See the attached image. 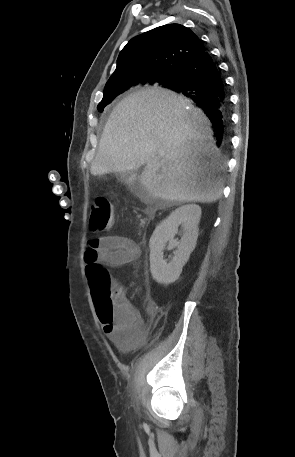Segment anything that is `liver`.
I'll return each instance as SVG.
<instances>
[{"mask_svg": "<svg viewBox=\"0 0 295 457\" xmlns=\"http://www.w3.org/2000/svg\"><path fill=\"white\" fill-rule=\"evenodd\" d=\"M203 111L176 93L152 88L130 94L105 124L91 174L139 177L148 194L171 202L210 203L221 197L220 155Z\"/></svg>", "mask_w": 295, "mask_h": 457, "instance_id": "1", "label": "liver"}]
</instances>
